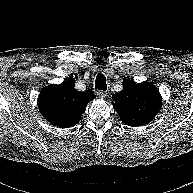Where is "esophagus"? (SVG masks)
<instances>
[{
  "label": "esophagus",
  "instance_id": "esophagus-1",
  "mask_svg": "<svg viewBox=\"0 0 193 193\" xmlns=\"http://www.w3.org/2000/svg\"><path fill=\"white\" fill-rule=\"evenodd\" d=\"M96 94H97V96H98L99 98H101V99H104V98L107 96V92L102 91V90L97 91Z\"/></svg>",
  "mask_w": 193,
  "mask_h": 193
}]
</instances>
